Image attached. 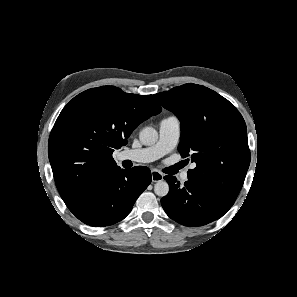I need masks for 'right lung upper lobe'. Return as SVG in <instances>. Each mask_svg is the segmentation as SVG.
<instances>
[{"label": "right lung upper lobe", "mask_w": 297, "mask_h": 297, "mask_svg": "<svg viewBox=\"0 0 297 297\" xmlns=\"http://www.w3.org/2000/svg\"><path fill=\"white\" fill-rule=\"evenodd\" d=\"M161 112L152 95L113 86L88 89L61 111L48 142V155L61 198L69 209L98 182L120 169L112 153L132 131Z\"/></svg>", "instance_id": "cb5924a9"}]
</instances>
